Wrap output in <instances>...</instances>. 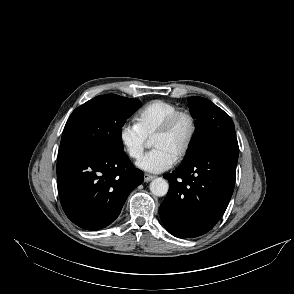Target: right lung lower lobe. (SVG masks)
I'll list each match as a JSON object with an SVG mask.
<instances>
[{
    "label": "right lung lower lobe",
    "mask_w": 294,
    "mask_h": 294,
    "mask_svg": "<svg viewBox=\"0 0 294 294\" xmlns=\"http://www.w3.org/2000/svg\"><path fill=\"white\" fill-rule=\"evenodd\" d=\"M142 182V171L123 150L78 153L57 161L62 208L73 223L87 230L111 224Z\"/></svg>",
    "instance_id": "98d812e1"
}]
</instances>
